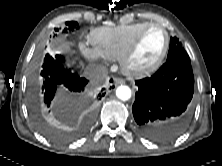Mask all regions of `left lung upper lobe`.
Returning <instances> with one entry per match:
<instances>
[{
  "instance_id": "1",
  "label": "left lung upper lobe",
  "mask_w": 222,
  "mask_h": 166,
  "mask_svg": "<svg viewBox=\"0 0 222 166\" xmlns=\"http://www.w3.org/2000/svg\"><path fill=\"white\" fill-rule=\"evenodd\" d=\"M175 59H184L190 61V58L185 49L182 47V44L179 41V39L176 37H172L170 40V47H169L167 61Z\"/></svg>"
}]
</instances>
